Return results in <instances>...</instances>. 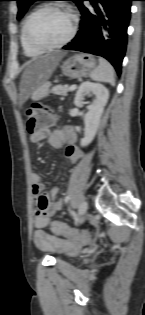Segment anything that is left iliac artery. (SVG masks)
Returning a JSON list of instances; mask_svg holds the SVG:
<instances>
[{
	"instance_id": "left-iliac-artery-1",
	"label": "left iliac artery",
	"mask_w": 145,
	"mask_h": 315,
	"mask_svg": "<svg viewBox=\"0 0 145 315\" xmlns=\"http://www.w3.org/2000/svg\"><path fill=\"white\" fill-rule=\"evenodd\" d=\"M70 198H71L70 196H66L64 199L65 203H67L70 200Z\"/></svg>"
}]
</instances>
